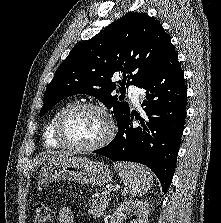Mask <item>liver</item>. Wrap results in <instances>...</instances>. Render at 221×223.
Wrapping results in <instances>:
<instances>
[{
    "instance_id": "obj_1",
    "label": "liver",
    "mask_w": 221,
    "mask_h": 223,
    "mask_svg": "<svg viewBox=\"0 0 221 223\" xmlns=\"http://www.w3.org/2000/svg\"><path fill=\"white\" fill-rule=\"evenodd\" d=\"M69 156V152L53 151L50 154H44L40 157V162H51Z\"/></svg>"
}]
</instances>
